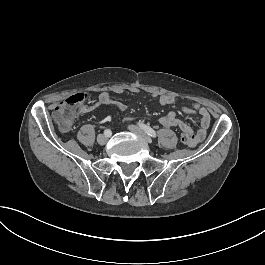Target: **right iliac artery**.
Returning a JSON list of instances; mask_svg holds the SVG:
<instances>
[{
  "instance_id": "obj_1",
  "label": "right iliac artery",
  "mask_w": 265,
  "mask_h": 265,
  "mask_svg": "<svg viewBox=\"0 0 265 265\" xmlns=\"http://www.w3.org/2000/svg\"><path fill=\"white\" fill-rule=\"evenodd\" d=\"M104 134L107 136V137H110L111 136V131L109 130V129H106L105 131H104Z\"/></svg>"
}]
</instances>
